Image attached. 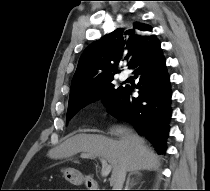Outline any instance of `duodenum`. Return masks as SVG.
<instances>
[{
    "instance_id": "duodenum-1",
    "label": "duodenum",
    "mask_w": 210,
    "mask_h": 191,
    "mask_svg": "<svg viewBox=\"0 0 210 191\" xmlns=\"http://www.w3.org/2000/svg\"><path fill=\"white\" fill-rule=\"evenodd\" d=\"M89 187L90 188H95V187H98V184H97V182H95L94 180H92V181L89 182Z\"/></svg>"
}]
</instances>
